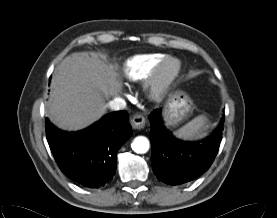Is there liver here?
<instances>
[{
    "mask_svg": "<svg viewBox=\"0 0 277 218\" xmlns=\"http://www.w3.org/2000/svg\"><path fill=\"white\" fill-rule=\"evenodd\" d=\"M48 114L65 130L82 129L105 113L106 99L120 88L112 64L96 53H73L58 67L51 82Z\"/></svg>",
    "mask_w": 277,
    "mask_h": 218,
    "instance_id": "liver-1",
    "label": "liver"
}]
</instances>
